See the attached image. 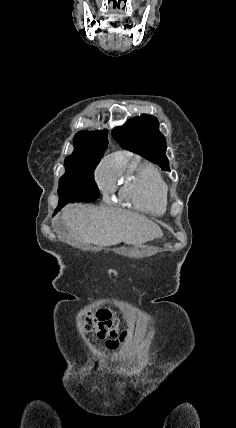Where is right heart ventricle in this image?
<instances>
[{
  "instance_id": "obj_1",
  "label": "right heart ventricle",
  "mask_w": 236,
  "mask_h": 428,
  "mask_svg": "<svg viewBox=\"0 0 236 428\" xmlns=\"http://www.w3.org/2000/svg\"><path fill=\"white\" fill-rule=\"evenodd\" d=\"M126 178L121 190L123 199L136 209L150 213H161L166 208L169 185L164 177L149 164L128 168L127 162L120 164Z\"/></svg>"
}]
</instances>
